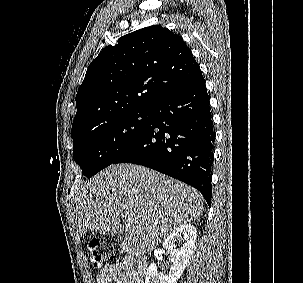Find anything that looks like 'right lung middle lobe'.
Wrapping results in <instances>:
<instances>
[{
    "instance_id": "obj_1",
    "label": "right lung middle lobe",
    "mask_w": 303,
    "mask_h": 283,
    "mask_svg": "<svg viewBox=\"0 0 303 283\" xmlns=\"http://www.w3.org/2000/svg\"><path fill=\"white\" fill-rule=\"evenodd\" d=\"M151 112H129L72 133L73 157L87 178L113 164L146 131Z\"/></svg>"
}]
</instances>
